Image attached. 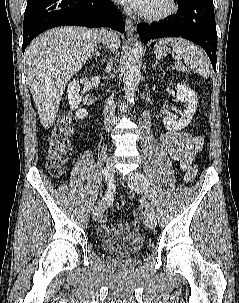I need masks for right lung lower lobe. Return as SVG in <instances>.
Masks as SVG:
<instances>
[{"label":"right lung lower lobe","mask_w":239,"mask_h":303,"mask_svg":"<svg viewBox=\"0 0 239 303\" xmlns=\"http://www.w3.org/2000/svg\"><path fill=\"white\" fill-rule=\"evenodd\" d=\"M62 25L103 26L121 33L125 31L123 17L111 0H27L23 52L37 35Z\"/></svg>","instance_id":"obj_1"}]
</instances>
